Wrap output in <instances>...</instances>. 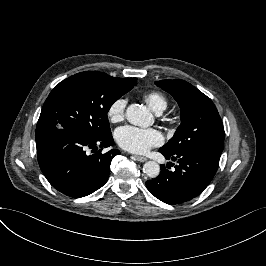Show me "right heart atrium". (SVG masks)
Listing matches in <instances>:
<instances>
[{"instance_id": "1", "label": "right heart atrium", "mask_w": 266, "mask_h": 266, "mask_svg": "<svg viewBox=\"0 0 266 266\" xmlns=\"http://www.w3.org/2000/svg\"><path fill=\"white\" fill-rule=\"evenodd\" d=\"M128 100L126 97L115 98L107 108L106 114L109 122L118 123L125 117Z\"/></svg>"}]
</instances>
